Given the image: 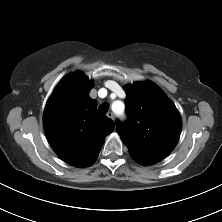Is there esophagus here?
<instances>
[{"label":"esophagus","mask_w":222,"mask_h":222,"mask_svg":"<svg viewBox=\"0 0 222 222\" xmlns=\"http://www.w3.org/2000/svg\"><path fill=\"white\" fill-rule=\"evenodd\" d=\"M106 116L108 117V118H110V119H114V116H113V113L112 112H108L107 114H106Z\"/></svg>","instance_id":"obj_1"}]
</instances>
